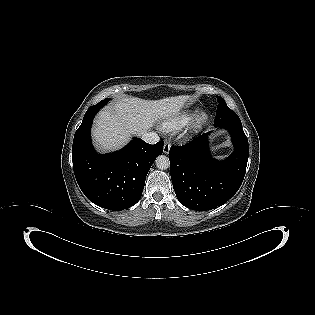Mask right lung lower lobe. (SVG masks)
<instances>
[{
	"label": "right lung lower lobe",
	"mask_w": 315,
	"mask_h": 315,
	"mask_svg": "<svg viewBox=\"0 0 315 315\" xmlns=\"http://www.w3.org/2000/svg\"><path fill=\"white\" fill-rule=\"evenodd\" d=\"M107 102L90 107L77 129L72 160L75 177L85 196L96 205L109 210H123L141 198L146 175L162 154L163 141L150 145L134 138L123 149L105 155L97 154L91 144L90 130L95 114Z\"/></svg>",
	"instance_id": "1"
}]
</instances>
